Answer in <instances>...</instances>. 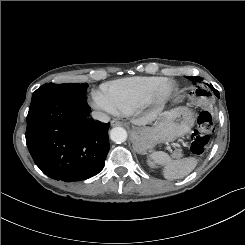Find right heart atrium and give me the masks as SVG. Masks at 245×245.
Returning <instances> with one entry per match:
<instances>
[{
    "label": "right heart atrium",
    "mask_w": 245,
    "mask_h": 245,
    "mask_svg": "<svg viewBox=\"0 0 245 245\" xmlns=\"http://www.w3.org/2000/svg\"><path fill=\"white\" fill-rule=\"evenodd\" d=\"M90 104L94 109L104 114L107 115L116 114V110L114 109V107L99 92L93 93Z\"/></svg>",
    "instance_id": "obj_1"
}]
</instances>
